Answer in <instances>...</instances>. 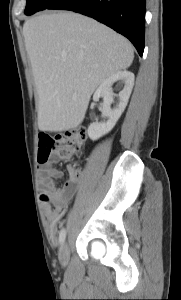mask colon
I'll list each match as a JSON object with an SVG mask.
<instances>
[{
	"mask_svg": "<svg viewBox=\"0 0 181 300\" xmlns=\"http://www.w3.org/2000/svg\"><path fill=\"white\" fill-rule=\"evenodd\" d=\"M87 138L85 128L79 127L67 131L62 135L52 137L47 134L39 136V163L47 161L50 153H55L62 160H69L76 156L82 149ZM73 177L79 178L81 170L70 168Z\"/></svg>",
	"mask_w": 181,
	"mask_h": 300,
	"instance_id": "obj_1",
	"label": "colon"
}]
</instances>
